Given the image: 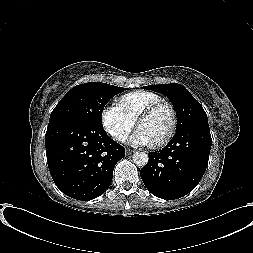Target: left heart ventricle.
<instances>
[{"mask_svg":"<svg viewBox=\"0 0 253 253\" xmlns=\"http://www.w3.org/2000/svg\"><path fill=\"white\" fill-rule=\"evenodd\" d=\"M172 116L168 108L163 107L154 112L151 116L143 119L138 129L144 131L153 144L162 139L168 132Z\"/></svg>","mask_w":253,"mask_h":253,"instance_id":"left-heart-ventricle-1","label":"left heart ventricle"}]
</instances>
